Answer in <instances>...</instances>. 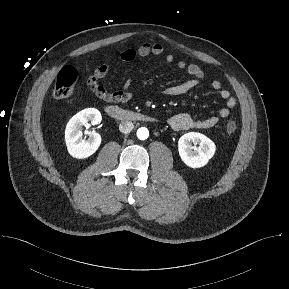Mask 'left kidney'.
Wrapping results in <instances>:
<instances>
[{"label":"left kidney","mask_w":289,"mask_h":289,"mask_svg":"<svg viewBox=\"0 0 289 289\" xmlns=\"http://www.w3.org/2000/svg\"><path fill=\"white\" fill-rule=\"evenodd\" d=\"M198 144L199 147H193ZM216 146L212 140L201 133L189 132L180 137L178 151L182 161L191 168L205 166L213 157Z\"/></svg>","instance_id":"left-kidney-1"}]
</instances>
